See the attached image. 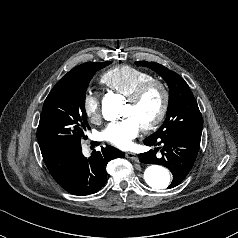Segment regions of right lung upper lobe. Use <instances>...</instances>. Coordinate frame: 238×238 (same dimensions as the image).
Returning <instances> with one entry per match:
<instances>
[{"mask_svg": "<svg viewBox=\"0 0 238 238\" xmlns=\"http://www.w3.org/2000/svg\"><path fill=\"white\" fill-rule=\"evenodd\" d=\"M86 64H88V63L82 64V65H79V66L73 68V69H72L71 71H69L67 74H72V73H74V72H76V71L82 69Z\"/></svg>", "mask_w": 238, "mask_h": 238, "instance_id": "right-lung-upper-lobe-1", "label": "right lung upper lobe"}]
</instances>
